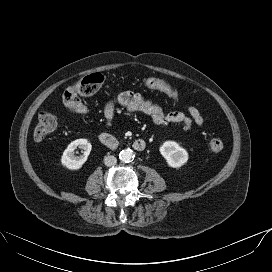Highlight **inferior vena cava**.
<instances>
[{
  "mask_svg": "<svg viewBox=\"0 0 272 272\" xmlns=\"http://www.w3.org/2000/svg\"><path fill=\"white\" fill-rule=\"evenodd\" d=\"M117 163V159L113 155L106 156L104 158V164L108 167L114 166Z\"/></svg>",
  "mask_w": 272,
  "mask_h": 272,
  "instance_id": "inferior-vena-cava-1",
  "label": "inferior vena cava"
}]
</instances>
